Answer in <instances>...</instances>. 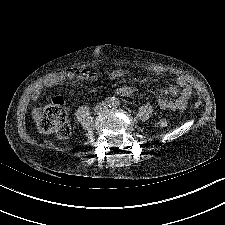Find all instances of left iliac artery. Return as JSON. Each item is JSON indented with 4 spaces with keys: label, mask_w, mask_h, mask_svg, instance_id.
I'll list each match as a JSON object with an SVG mask.
<instances>
[{
    "label": "left iliac artery",
    "mask_w": 225,
    "mask_h": 225,
    "mask_svg": "<svg viewBox=\"0 0 225 225\" xmlns=\"http://www.w3.org/2000/svg\"><path fill=\"white\" fill-rule=\"evenodd\" d=\"M119 104H120V100L115 98L114 103H113V107L117 108L119 106Z\"/></svg>",
    "instance_id": "1"
}]
</instances>
